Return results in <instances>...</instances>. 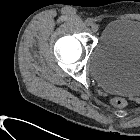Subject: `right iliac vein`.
I'll list each match as a JSON object with an SVG mask.
<instances>
[{
    "mask_svg": "<svg viewBox=\"0 0 140 140\" xmlns=\"http://www.w3.org/2000/svg\"><path fill=\"white\" fill-rule=\"evenodd\" d=\"M91 30L93 33H96L99 30V25L94 23L91 25Z\"/></svg>",
    "mask_w": 140,
    "mask_h": 140,
    "instance_id": "63e3f726",
    "label": "right iliac vein"
}]
</instances>
